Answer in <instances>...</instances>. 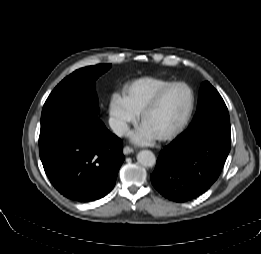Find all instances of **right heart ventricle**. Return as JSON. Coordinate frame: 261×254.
<instances>
[{
	"label": "right heart ventricle",
	"mask_w": 261,
	"mask_h": 254,
	"mask_svg": "<svg viewBox=\"0 0 261 254\" xmlns=\"http://www.w3.org/2000/svg\"><path fill=\"white\" fill-rule=\"evenodd\" d=\"M170 81L157 78H142L130 84L126 96L132 109L139 114Z\"/></svg>",
	"instance_id": "right-heart-ventricle-1"
}]
</instances>
